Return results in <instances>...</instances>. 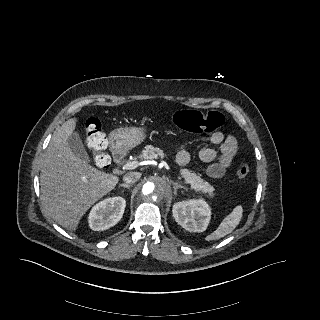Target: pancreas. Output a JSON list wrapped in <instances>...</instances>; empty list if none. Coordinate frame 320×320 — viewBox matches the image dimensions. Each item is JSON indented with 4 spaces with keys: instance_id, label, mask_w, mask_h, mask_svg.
Listing matches in <instances>:
<instances>
[{
    "instance_id": "obj_1",
    "label": "pancreas",
    "mask_w": 320,
    "mask_h": 320,
    "mask_svg": "<svg viewBox=\"0 0 320 320\" xmlns=\"http://www.w3.org/2000/svg\"><path fill=\"white\" fill-rule=\"evenodd\" d=\"M166 155L160 148H155L152 145H147L142 151L141 157L144 159H157L158 157H165ZM180 175L185 182L191 185V189L195 192L208 194L209 198L214 197V187L207 181H204L198 174L189 169H181Z\"/></svg>"
}]
</instances>
